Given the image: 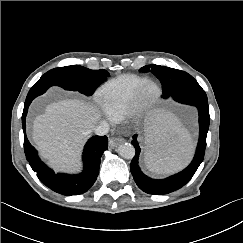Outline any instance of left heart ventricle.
I'll list each match as a JSON object with an SVG mask.
<instances>
[{"label": "left heart ventricle", "instance_id": "left-heart-ventricle-1", "mask_svg": "<svg viewBox=\"0 0 243 243\" xmlns=\"http://www.w3.org/2000/svg\"><path fill=\"white\" fill-rule=\"evenodd\" d=\"M154 92H155L154 87H150V88L148 89V91H147V94H148V96H152V95L154 94Z\"/></svg>", "mask_w": 243, "mask_h": 243}]
</instances>
